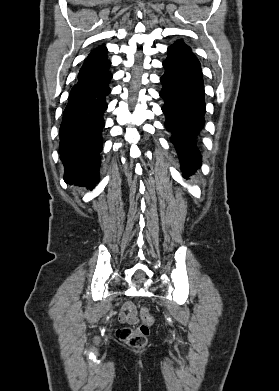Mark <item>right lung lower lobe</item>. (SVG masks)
Listing matches in <instances>:
<instances>
[{"mask_svg": "<svg viewBox=\"0 0 279 391\" xmlns=\"http://www.w3.org/2000/svg\"><path fill=\"white\" fill-rule=\"evenodd\" d=\"M111 78L107 71L79 80L70 92L59 130L64 180L69 184L93 188L97 182L105 97L111 92Z\"/></svg>", "mask_w": 279, "mask_h": 391, "instance_id": "right-lung-lower-lobe-1", "label": "right lung lower lobe"}]
</instances>
